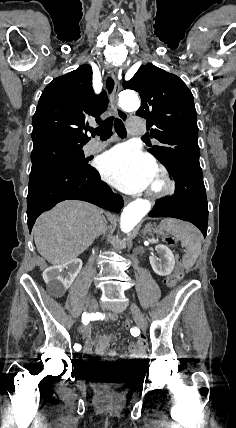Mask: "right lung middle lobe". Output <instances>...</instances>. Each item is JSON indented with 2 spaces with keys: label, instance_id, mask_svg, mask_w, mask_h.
<instances>
[{
  "label": "right lung middle lobe",
  "instance_id": "dd1d6c3e",
  "mask_svg": "<svg viewBox=\"0 0 236 428\" xmlns=\"http://www.w3.org/2000/svg\"><path fill=\"white\" fill-rule=\"evenodd\" d=\"M86 143L85 140H54L33 146L31 173L60 165L87 166L88 159L82 150Z\"/></svg>",
  "mask_w": 236,
  "mask_h": 428
}]
</instances>
